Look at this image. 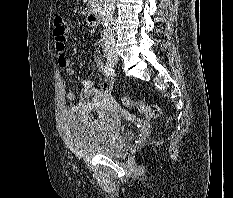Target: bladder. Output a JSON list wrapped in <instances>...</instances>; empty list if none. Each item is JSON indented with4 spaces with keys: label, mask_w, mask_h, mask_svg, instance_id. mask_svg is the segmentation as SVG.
Instances as JSON below:
<instances>
[{
    "label": "bladder",
    "mask_w": 233,
    "mask_h": 198,
    "mask_svg": "<svg viewBox=\"0 0 233 198\" xmlns=\"http://www.w3.org/2000/svg\"><path fill=\"white\" fill-rule=\"evenodd\" d=\"M121 115L117 107L98 117L68 111L65 114V132L70 146L82 154L119 155L132 138L121 128Z\"/></svg>",
    "instance_id": "1"
}]
</instances>
